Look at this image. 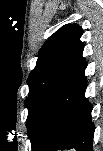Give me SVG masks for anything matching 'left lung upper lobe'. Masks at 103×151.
Instances as JSON below:
<instances>
[{
  "label": "left lung upper lobe",
  "instance_id": "obj_1",
  "mask_svg": "<svg viewBox=\"0 0 103 151\" xmlns=\"http://www.w3.org/2000/svg\"><path fill=\"white\" fill-rule=\"evenodd\" d=\"M83 34V29L77 24H66L56 31L44 43L38 53L35 68L31 71L27 84L31 86L32 80L58 55L75 44ZM30 92V91H29ZM29 97V96H28ZM27 97V98H28ZM27 98L26 101L27 102Z\"/></svg>",
  "mask_w": 103,
  "mask_h": 151
}]
</instances>
